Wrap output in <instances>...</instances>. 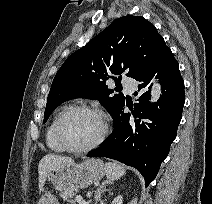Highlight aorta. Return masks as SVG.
I'll return each mask as SVG.
<instances>
[{"label":"aorta","mask_w":212,"mask_h":204,"mask_svg":"<svg viewBox=\"0 0 212 204\" xmlns=\"http://www.w3.org/2000/svg\"><path fill=\"white\" fill-rule=\"evenodd\" d=\"M160 95H161V86L157 81H154L153 87L151 90V102L157 101Z\"/></svg>","instance_id":"1"}]
</instances>
